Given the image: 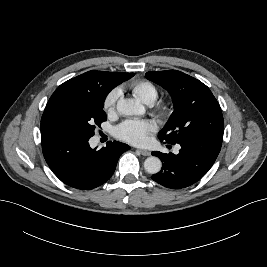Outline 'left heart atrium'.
Segmentation results:
<instances>
[{"label":"left heart atrium","instance_id":"1","mask_svg":"<svg viewBox=\"0 0 267 267\" xmlns=\"http://www.w3.org/2000/svg\"><path fill=\"white\" fill-rule=\"evenodd\" d=\"M154 130L155 126L151 121L129 119L116 127L115 136L134 145H144Z\"/></svg>","mask_w":267,"mask_h":267}]
</instances>
